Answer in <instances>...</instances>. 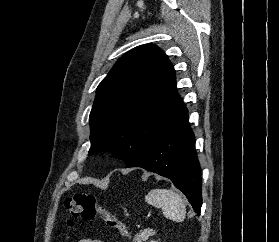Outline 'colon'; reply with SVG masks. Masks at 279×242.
I'll return each mask as SVG.
<instances>
[{"label":"colon","mask_w":279,"mask_h":242,"mask_svg":"<svg viewBox=\"0 0 279 242\" xmlns=\"http://www.w3.org/2000/svg\"><path fill=\"white\" fill-rule=\"evenodd\" d=\"M67 212V225L72 227L74 219L91 221L100 218L104 224L119 234L129 237L131 232L124 222L113 216L109 210L97 203L96 198L91 194L75 193L64 201Z\"/></svg>","instance_id":"obj_1"}]
</instances>
